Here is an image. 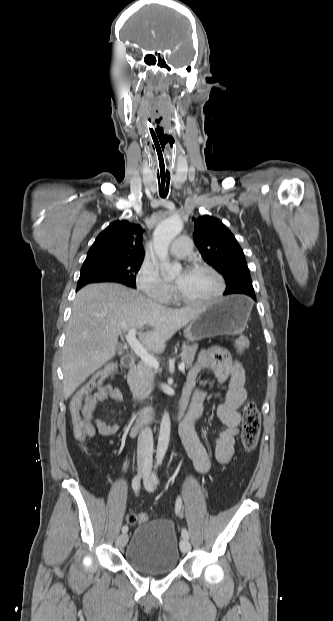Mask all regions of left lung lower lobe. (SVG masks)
Here are the masks:
<instances>
[{
    "label": "left lung lower lobe",
    "instance_id": "obj_1",
    "mask_svg": "<svg viewBox=\"0 0 333 621\" xmlns=\"http://www.w3.org/2000/svg\"><path fill=\"white\" fill-rule=\"evenodd\" d=\"M249 297H251L253 300L256 301V296L255 295H249Z\"/></svg>",
    "mask_w": 333,
    "mask_h": 621
}]
</instances>
